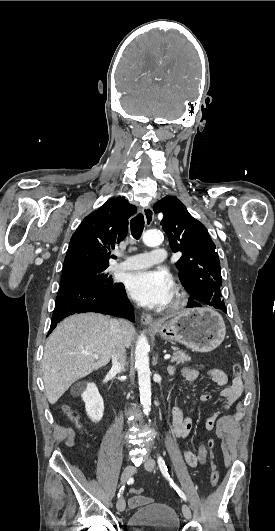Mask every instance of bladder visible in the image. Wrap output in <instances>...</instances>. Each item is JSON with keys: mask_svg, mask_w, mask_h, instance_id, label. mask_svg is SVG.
I'll use <instances>...</instances> for the list:
<instances>
[{"mask_svg": "<svg viewBox=\"0 0 275 531\" xmlns=\"http://www.w3.org/2000/svg\"><path fill=\"white\" fill-rule=\"evenodd\" d=\"M179 526L175 511L161 502L140 508L130 517V531H178Z\"/></svg>", "mask_w": 275, "mask_h": 531, "instance_id": "1", "label": "bladder"}]
</instances>
